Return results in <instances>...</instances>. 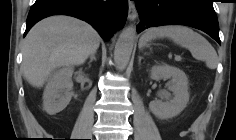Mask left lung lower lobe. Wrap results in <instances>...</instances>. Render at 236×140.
I'll list each match as a JSON object with an SVG mask.
<instances>
[{"label": "left lung lower lobe", "mask_w": 236, "mask_h": 140, "mask_svg": "<svg viewBox=\"0 0 236 140\" xmlns=\"http://www.w3.org/2000/svg\"><path fill=\"white\" fill-rule=\"evenodd\" d=\"M212 0H136L141 18L137 32L162 25H186L200 29L220 43Z\"/></svg>", "instance_id": "left-lung-lower-lobe-1"}]
</instances>
